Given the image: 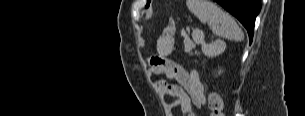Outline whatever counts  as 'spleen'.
Returning <instances> with one entry per match:
<instances>
[{"instance_id": "3e777b00", "label": "spleen", "mask_w": 305, "mask_h": 116, "mask_svg": "<svg viewBox=\"0 0 305 116\" xmlns=\"http://www.w3.org/2000/svg\"><path fill=\"white\" fill-rule=\"evenodd\" d=\"M186 4L189 10L202 23H207L212 29V32L217 36L235 41L244 39V34L235 20L211 1L187 0ZM218 43H220V41L216 42V44Z\"/></svg>"}]
</instances>
